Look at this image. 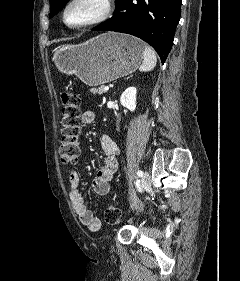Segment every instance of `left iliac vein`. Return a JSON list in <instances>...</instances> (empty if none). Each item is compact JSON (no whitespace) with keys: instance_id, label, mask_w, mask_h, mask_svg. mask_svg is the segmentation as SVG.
<instances>
[{"instance_id":"obj_1","label":"left iliac vein","mask_w":240,"mask_h":281,"mask_svg":"<svg viewBox=\"0 0 240 281\" xmlns=\"http://www.w3.org/2000/svg\"><path fill=\"white\" fill-rule=\"evenodd\" d=\"M142 190L145 191L150 187V178L147 171L143 173L142 180H141Z\"/></svg>"}]
</instances>
